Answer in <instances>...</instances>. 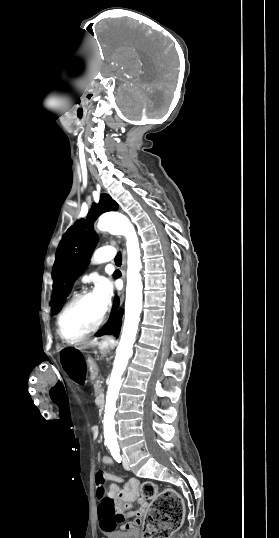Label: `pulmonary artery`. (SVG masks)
<instances>
[{
  "label": "pulmonary artery",
  "mask_w": 279,
  "mask_h": 538,
  "mask_svg": "<svg viewBox=\"0 0 279 538\" xmlns=\"http://www.w3.org/2000/svg\"><path fill=\"white\" fill-rule=\"evenodd\" d=\"M111 259V257H104V258H101L99 261L100 262H106V261H109Z\"/></svg>",
  "instance_id": "e3ab8cb5"
}]
</instances>
